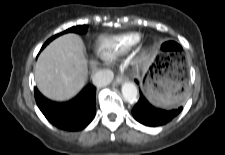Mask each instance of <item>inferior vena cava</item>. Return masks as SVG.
<instances>
[{"label": "inferior vena cava", "instance_id": "obj_1", "mask_svg": "<svg viewBox=\"0 0 225 155\" xmlns=\"http://www.w3.org/2000/svg\"><path fill=\"white\" fill-rule=\"evenodd\" d=\"M114 78V74L109 69H102L95 73L93 76V84L98 87H103L112 82Z\"/></svg>", "mask_w": 225, "mask_h": 155}]
</instances>
